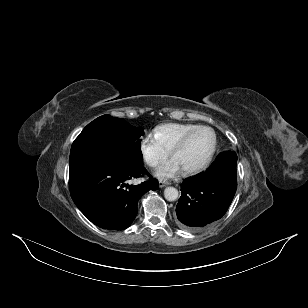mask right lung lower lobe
<instances>
[{
  "label": "right lung lower lobe",
  "instance_id": "right-lung-lower-lobe-1",
  "mask_svg": "<svg viewBox=\"0 0 308 308\" xmlns=\"http://www.w3.org/2000/svg\"><path fill=\"white\" fill-rule=\"evenodd\" d=\"M148 174L141 165L82 163L69 168L71 197L80 211L95 225L123 230L137 215L139 198L158 188L156 179L129 185L131 179Z\"/></svg>",
  "mask_w": 308,
  "mask_h": 308
}]
</instances>
